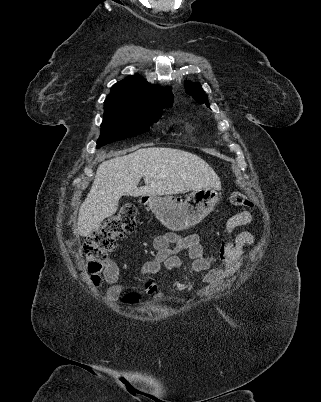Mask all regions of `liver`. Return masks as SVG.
<instances>
[{"mask_svg": "<svg viewBox=\"0 0 321 402\" xmlns=\"http://www.w3.org/2000/svg\"><path fill=\"white\" fill-rule=\"evenodd\" d=\"M145 185L138 187L141 178ZM220 189L212 167L199 156L174 148L148 147L102 162L79 209L77 231L90 235L101 222L116 213L126 196H161L202 188Z\"/></svg>", "mask_w": 321, "mask_h": 402, "instance_id": "1", "label": "liver"}]
</instances>
